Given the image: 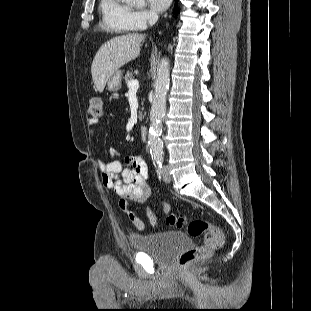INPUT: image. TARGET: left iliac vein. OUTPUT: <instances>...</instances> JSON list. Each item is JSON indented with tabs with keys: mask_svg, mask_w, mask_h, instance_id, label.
Wrapping results in <instances>:
<instances>
[{
	"mask_svg": "<svg viewBox=\"0 0 311 311\" xmlns=\"http://www.w3.org/2000/svg\"><path fill=\"white\" fill-rule=\"evenodd\" d=\"M163 179L167 183H169L171 181V175L169 173V167L168 166L163 167Z\"/></svg>",
	"mask_w": 311,
	"mask_h": 311,
	"instance_id": "4c4485c4",
	"label": "left iliac vein"
}]
</instances>
